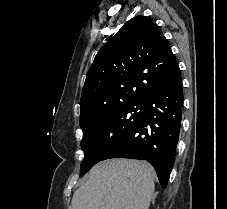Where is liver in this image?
Masks as SVG:
<instances>
[{
	"instance_id": "obj_1",
	"label": "liver",
	"mask_w": 227,
	"mask_h": 209,
	"mask_svg": "<svg viewBox=\"0 0 227 209\" xmlns=\"http://www.w3.org/2000/svg\"><path fill=\"white\" fill-rule=\"evenodd\" d=\"M75 191L72 209H149L155 171L144 161L108 159L89 171Z\"/></svg>"
}]
</instances>
